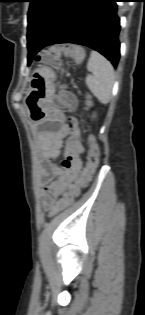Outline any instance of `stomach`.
Returning a JSON list of instances; mask_svg holds the SVG:
<instances>
[{"label":"stomach","instance_id":"stomach-1","mask_svg":"<svg viewBox=\"0 0 145 315\" xmlns=\"http://www.w3.org/2000/svg\"><path fill=\"white\" fill-rule=\"evenodd\" d=\"M54 79H58V72H33L32 85L25 92L31 122H51V116L58 115L57 109L45 103L50 92L55 91Z\"/></svg>","mask_w":145,"mask_h":315}]
</instances>
